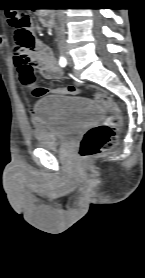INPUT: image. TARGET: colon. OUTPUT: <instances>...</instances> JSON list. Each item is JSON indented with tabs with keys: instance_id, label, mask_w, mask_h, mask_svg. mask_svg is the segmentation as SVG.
<instances>
[{
	"instance_id": "1",
	"label": "colon",
	"mask_w": 145,
	"mask_h": 278,
	"mask_svg": "<svg viewBox=\"0 0 145 278\" xmlns=\"http://www.w3.org/2000/svg\"><path fill=\"white\" fill-rule=\"evenodd\" d=\"M7 21L17 44L22 48L30 47L34 37L30 29L28 15L22 12L11 13L8 15ZM23 86L35 97H42L47 94L74 96L80 93L79 88L72 86L46 88L37 85L33 76L25 79ZM96 100L110 114L105 123L96 125L85 132L79 146V156L82 161H88L111 150L116 145V130L123 123L122 108L111 95L99 93L96 95Z\"/></svg>"
}]
</instances>
